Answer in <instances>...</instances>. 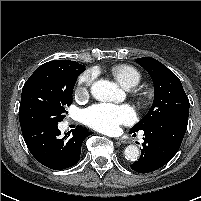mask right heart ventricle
<instances>
[{"label":"right heart ventricle","mask_w":201,"mask_h":201,"mask_svg":"<svg viewBox=\"0 0 201 201\" xmlns=\"http://www.w3.org/2000/svg\"><path fill=\"white\" fill-rule=\"evenodd\" d=\"M110 74L124 88L135 87L141 80L140 72L132 65L118 64L110 68Z\"/></svg>","instance_id":"e07e8e85"}]
</instances>
